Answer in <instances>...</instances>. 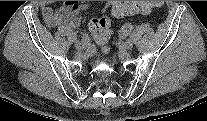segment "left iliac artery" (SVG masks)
Listing matches in <instances>:
<instances>
[{
	"label": "left iliac artery",
	"mask_w": 207,
	"mask_h": 121,
	"mask_svg": "<svg viewBox=\"0 0 207 121\" xmlns=\"http://www.w3.org/2000/svg\"><path fill=\"white\" fill-rule=\"evenodd\" d=\"M132 29V26L129 23H126L120 30V37L125 39L128 36V32Z\"/></svg>",
	"instance_id": "1"
}]
</instances>
